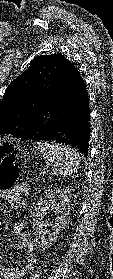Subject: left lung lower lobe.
I'll return each mask as SVG.
<instances>
[{"label":"left lung lower lobe","mask_w":113,"mask_h":279,"mask_svg":"<svg viewBox=\"0 0 113 279\" xmlns=\"http://www.w3.org/2000/svg\"><path fill=\"white\" fill-rule=\"evenodd\" d=\"M48 92L19 138L70 145L87 156L91 131L88 92L71 62Z\"/></svg>","instance_id":"1"}]
</instances>
